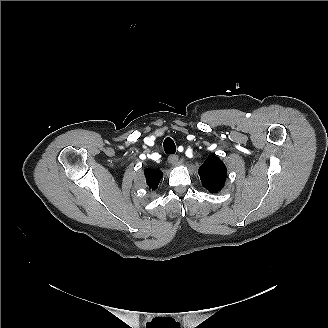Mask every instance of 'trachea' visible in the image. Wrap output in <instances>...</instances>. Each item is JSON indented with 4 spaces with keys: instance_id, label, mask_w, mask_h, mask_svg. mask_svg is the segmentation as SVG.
<instances>
[{
    "instance_id": "3493384b",
    "label": "trachea",
    "mask_w": 328,
    "mask_h": 328,
    "mask_svg": "<svg viewBox=\"0 0 328 328\" xmlns=\"http://www.w3.org/2000/svg\"><path fill=\"white\" fill-rule=\"evenodd\" d=\"M164 150L166 154H175L176 152V145L171 138H166L164 140Z\"/></svg>"
}]
</instances>
